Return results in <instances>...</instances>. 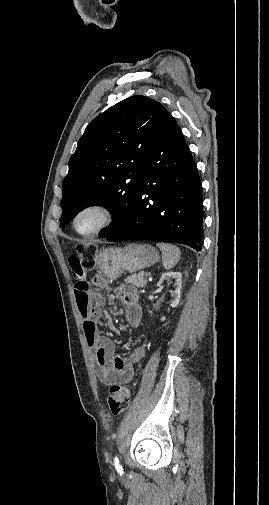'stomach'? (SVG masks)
<instances>
[{"label":"stomach","instance_id":"0dacf381","mask_svg":"<svg viewBox=\"0 0 269 505\" xmlns=\"http://www.w3.org/2000/svg\"><path fill=\"white\" fill-rule=\"evenodd\" d=\"M159 253L149 244L131 243L124 248H106L97 257L98 268L108 279L114 280L122 273H134L150 267L159 260Z\"/></svg>","mask_w":269,"mask_h":505}]
</instances>
